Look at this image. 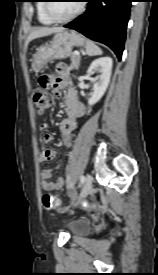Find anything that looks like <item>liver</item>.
Here are the masks:
<instances>
[{"mask_svg":"<svg viewBox=\"0 0 158 275\" xmlns=\"http://www.w3.org/2000/svg\"><path fill=\"white\" fill-rule=\"evenodd\" d=\"M62 31H64V28H62V27H53V28L42 27V28H37V29L33 30L29 34L26 43L28 44L33 39H36V38H39V37H43V36H47V35H50L52 33H59V32H62Z\"/></svg>","mask_w":158,"mask_h":275,"instance_id":"obj_1","label":"liver"}]
</instances>
